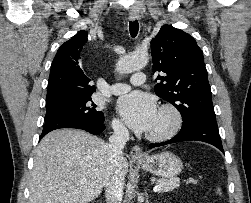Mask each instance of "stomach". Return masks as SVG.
Segmentation results:
<instances>
[{
    "instance_id": "stomach-1",
    "label": "stomach",
    "mask_w": 251,
    "mask_h": 203,
    "mask_svg": "<svg viewBox=\"0 0 251 203\" xmlns=\"http://www.w3.org/2000/svg\"><path fill=\"white\" fill-rule=\"evenodd\" d=\"M137 163L144 170L164 178L176 177L183 168L181 159L171 152L148 156L145 160L137 161Z\"/></svg>"
}]
</instances>
